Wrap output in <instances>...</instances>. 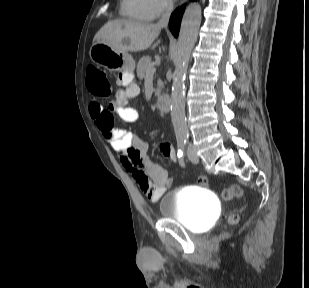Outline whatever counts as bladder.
Returning <instances> with one entry per match:
<instances>
[{"label": "bladder", "instance_id": "1", "mask_svg": "<svg viewBox=\"0 0 309 288\" xmlns=\"http://www.w3.org/2000/svg\"><path fill=\"white\" fill-rule=\"evenodd\" d=\"M162 219H177L192 231H204L216 220L218 202L204 187L187 186L165 192L159 199Z\"/></svg>", "mask_w": 309, "mask_h": 288}]
</instances>
